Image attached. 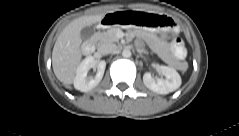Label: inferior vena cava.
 Wrapping results in <instances>:
<instances>
[{
	"label": "inferior vena cava",
	"instance_id": "inferior-vena-cava-1",
	"mask_svg": "<svg viewBox=\"0 0 239 136\" xmlns=\"http://www.w3.org/2000/svg\"><path fill=\"white\" fill-rule=\"evenodd\" d=\"M117 49V46L113 43H102L98 47V52L102 55H107L115 52Z\"/></svg>",
	"mask_w": 239,
	"mask_h": 136
}]
</instances>
